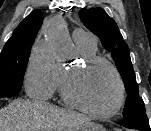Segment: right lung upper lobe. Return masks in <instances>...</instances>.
Listing matches in <instances>:
<instances>
[{"instance_id": "cb5924a9", "label": "right lung upper lobe", "mask_w": 151, "mask_h": 131, "mask_svg": "<svg viewBox=\"0 0 151 131\" xmlns=\"http://www.w3.org/2000/svg\"><path fill=\"white\" fill-rule=\"evenodd\" d=\"M43 16L40 10L32 11L14 30L4 48L32 45L42 25Z\"/></svg>"}]
</instances>
